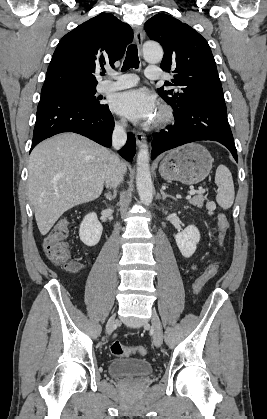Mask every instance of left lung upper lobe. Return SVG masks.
<instances>
[{
    "instance_id": "obj_1",
    "label": "left lung upper lobe",
    "mask_w": 267,
    "mask_h": 419,
    "mask_svg": "<svg viewBox=\"0 0 267 419\" xmlns=\"http://www.w3.org/2000/svg\"><path fill=\"white\" fill-rule=\"evenodd\" d=\"M144 28L164 49L161 69L174 73L172 83L166 82L165 86L177 89L161 87L158 93L175 114L196 104L225 103L211 49L196 30L167 14L153 16Z\"/></svg>"
}]
</instances>
